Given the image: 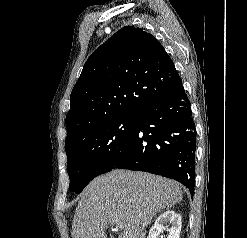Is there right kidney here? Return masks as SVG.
<instances>
[{
  "label": "right kidney",
  "mask_w": 247,
  "mask_h": 238,
  "mask_svg": "<svg viewBox=\"0 0 247 238\" xmlns=\"http://www.w3.org/2000/svg\"><path fill=\"white\" fill-rule=\"evenodd\" d=\"M171 224L168 229L169 235L167 238H179L181 231V216L172 210H167L156 219L154 225L149 231L147 238H157L158 235L167 228L166 224Z\"/></svg>",
  "instance_id": "obj_1"
}]
</instances>
